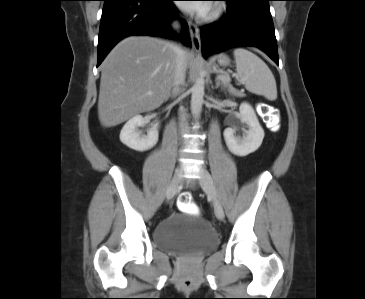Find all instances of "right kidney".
<instances>
[{"instance_id": "right-kidney-1", "label": "right kidney", "mask_w": 365, "mask_h": 299, "mask_svg": "<svg viewBox=\"0 0 365 299\" xmlns=\"http://www.w3.org/2000/svg\"><path fill=\"white\" fill-rule=\"evenodd\" d=\"M150 118V116L142 117L140 115L131 118L121 130V142L129 148L141 152L152 148L158 141L157 125L152 126L147 135H141L138 129L148 123Z\"/></svg>"}]
</instances>
